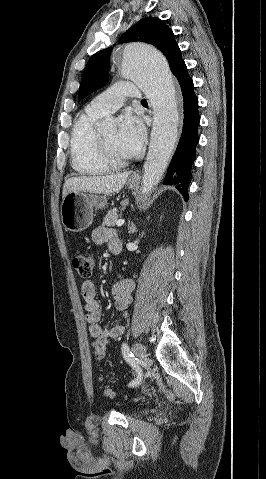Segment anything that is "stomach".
Returning <instances> with one entry per match:
<instances>
[{
  "instance_id": "stomach-1",
  "label": "stomach",
  "mask_w": 266,
  "mask_h": 479,
  "mask_svg": "<svg viewBox=\"0 0 266 479\" xmlns=\"http://www.w3.org/2000/svg\"><path fill=\"white\" fill-rule=\"evenodd\" d=\"M129 189H136L137 181L127 182ZM107 205L106 195L70 192L61 204V219L66 230L81 232L93 222L94 210L103 209Z\"/></svg>"
}]
</instances>
